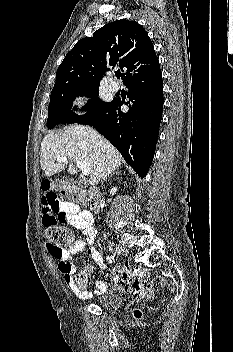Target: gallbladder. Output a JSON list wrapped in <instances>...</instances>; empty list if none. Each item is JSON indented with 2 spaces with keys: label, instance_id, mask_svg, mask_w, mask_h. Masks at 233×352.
I'll return each instance as SVG.
<instances>
[{
  "label": "gallbladder",
  "instance_id": "1",
  "mask_svg": "<svg viewBox=\"0 0 233 352\" xmlns=\"http://www.w3.org/2000/svg\"><path fill=\"white\" fill-rule=\"evenodd\" d=\"M75 185H76V186H83L84 184L79 181V182H76Z\"/></svg>",
  "mask_w": 233,
  "mask_h": 352
}]
</instances>
